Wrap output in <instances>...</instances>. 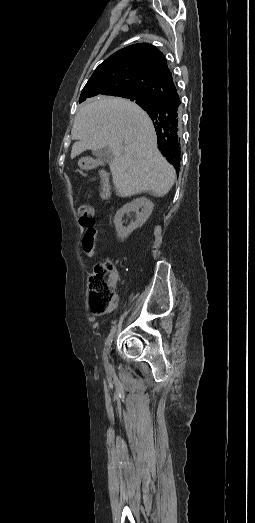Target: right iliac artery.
Segmentation results:
<instances>
[{
  "label": "right iliac artery",
  "instance_id": "obj_1",
  "mask_svg": "<svg viewBox=\"0 0 255 523\" xmlns=\"http://www.w3.org/2000/svg\"><path fill=\"white\" fill-rule=\"evenodd\" d=\"M116 331V326H113L112 329H111V332L110 334L108 335V338L105 342V347H104V361H105V365L107 366L108 365V358H107V355L111 349V343L113 341V337H114V333Z\"/></svg>",
  "mask_w": 255,
  "mask_h": 523
}]
</instances>
